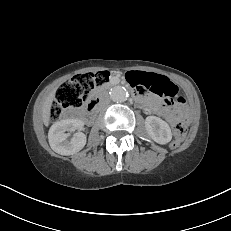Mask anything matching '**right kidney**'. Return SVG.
Segmentation results:
<instances>
[{
    "mask_svg": "<svg viewBox=\"0 0 231 231\" xmlns=\"http://www.w3.org/2000/svg\"><path fill=\"white\" fill-rule=\"evenodd\" d=\"M83 122L78 119H66L55 122L48 133L49 144L56 153L61 155H71L80 151L86 144V135L77 132L71 140H67L69 134L75 130H80Z\"/></svg>",
    "mask_w": 231,
    "mask_h": 231,
    "instance_id": "right-kidney-1",
    "label": "right kidney"
}]
</instances>
